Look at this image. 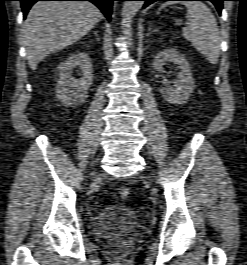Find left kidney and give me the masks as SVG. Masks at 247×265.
Segmentation results:
<instances>
[{"instance_id": "1", "label": "left kidney", "mask_w": 247, "mask_h": 265, "mask_svg": "<svg viewBox=\"0 0 247 265\" xmlns=\"http://www.w3.org/2000/svg\"><path fill=\"white\" fill-rule=\"evenodd\" d=\"M166 62L177 64L181 70L177 80L173 82L174 88L167 86L161 89V95L172 104H184L194 89V79L187 59L175 49H165L155 56L154 69L162 72Z\"/></svg>"}]
</instances>
